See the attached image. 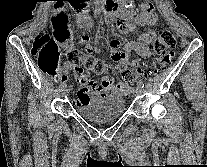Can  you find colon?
<instances>
[{"instance_id": "obj_1", "label": "colon", "mask_w": 207, "mask_h": 167, "mask_svg": "<svg viewBox=\"0 0 207 167\" xmlns=\"http://www.w3.org/2000/svg\"><path fill=\"white\" fill-rule=\"evenodd\" d=\"M54 34L39 33L34 39L31 53L37 60L41 72L52 77L59 76L61 63V50L64 48L66 61L76 68H83L88 72L102 74L106 71V63L95 57L89 51H82L76 45L74 31L71 27V13L68 9L57 7L52 21ZM176 37L169 31H162L154 42L156 59L143 68L135 70L124 68L122 71V82L126 86L149 74L159 72L168 65L172 59V50L176 47Z\"/></svg>"}]
</instances>
